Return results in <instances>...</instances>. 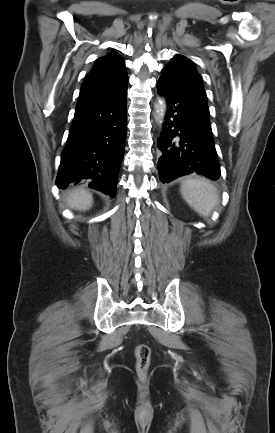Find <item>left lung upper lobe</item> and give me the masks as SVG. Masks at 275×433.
I'll return each mask as SVG.
<instances>
[{"instance_id": "1", "label": "left lung upper lobe", "mask_w": 275, "mask_h": 433, "mask_svg": "<svg viewBox=\"0 0 275 433\" xmlns=\"http://www.w3.org/2000/svg\"><path fill=\"white\" fill-rule=\"evenodd\" d=\"M160 78L180 88L207 107V97L202 78L196 72L193 63L183 55H175L173 61L162 69Z\"/></svg>"}]
</instances>
